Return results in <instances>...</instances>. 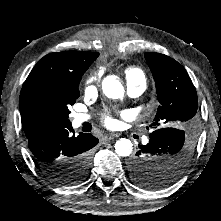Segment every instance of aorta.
<instances>
[{
  "label": "aorta",
  "instance_id": "1",
  "mask_svg": "<svg viewBox=\"0 0 221 221\" xmlns=\"http://www.w3.org/2000/svg\"><path fill=\"white\" fill-rule=\"evenodd\" d=\"M102 90L108 98L119 99L124 95V89L115 75H109L102 81ZM133 144L129 139L121 138L115 143V152L122 157H127L132 153Z\"/></svg>",
  "mask_w": 221,
  "mask_h": 221
}]
</instances>
